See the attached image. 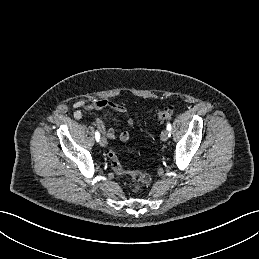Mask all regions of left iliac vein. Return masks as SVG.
<instances>
[{
	"label": "left iliac vein",
	"mask_w": 259,
	"mask_h": 259,
	"mask_svg": "<svg viewBox=\"0 0 259 259\" xmlns=\"http://www.w3.org/2000/svg\"><path fill=\"white\" fill-rule=\"evenodd\" d=\"M160 137H161V140H162V141H164V142L167 141V140H168V137H169L168 131H167V130H163V131L161 132Z\"/></svg>",
	"instance_id": "4c4485c4"
}]
</instances>
